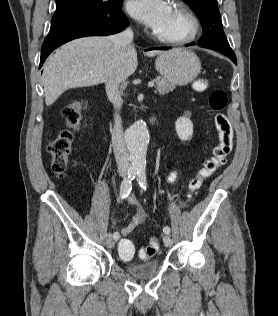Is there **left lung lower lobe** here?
<instances>
[{
	"mask_svg": "<svg viewBox=\"0 0 278 316\" xmlns=\"http://www.w3.org/2000/svg\"><path fill=\"white\" fill-rule=\"evenodd\" d=\"M187 45H193V43L192 44H187ZM200 46V45H199ZM156 49H168V48H156ZM235 64H237V60H235V61H233Z\"/></svg>",
	"mask_w": 278,
	"mask_h": 316,
	"instance_id": "0a47b994",
	"label": "left lung lower lobe"
}]
</instances>
